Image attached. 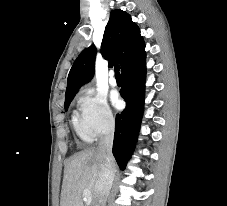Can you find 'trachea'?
<instances>
[{
	"label": "trachea",
	"instance_id": "obj_1",
	"mask_svg": "<svg viewBox=\"0 0 227 206\" xmlns=\"http://www.w3.org/2000/svg\"><path fill=\"white\" fill-rule=\"evenodd\" d=\"M120 66L119 65H116L115 66V77L116 78H121V74H120Z\"/></svg>",
	"mask_w": 227,
	"mask_h": 206
}]
</instances>
